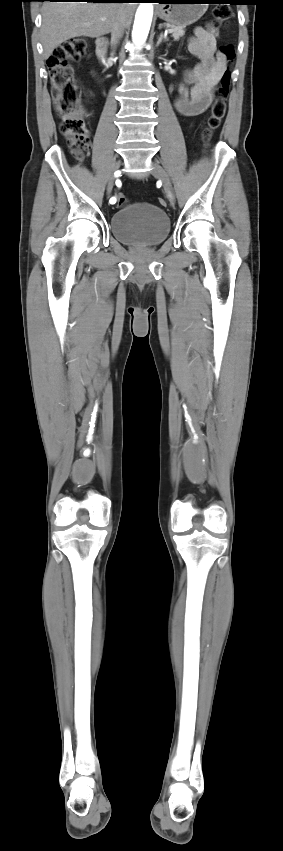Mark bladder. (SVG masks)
<instances>
[{
	"instance_id": "1",
	"label": "bladder",
	"mask_w": 283,
	"mask_h": 851,
	"mask_svg": "<svg viewBox=\"0 0 283 851\" xmlns=\"http://www.w3.org/2000/svg\"><path fill=\"white\" fill-rule=\"evenodd\" d=\"M112 235L120 242L134 246H153L169 234L170 220L166 212L147 202L124 206L111 216Z\"/></svg>"
}]
</instances>
